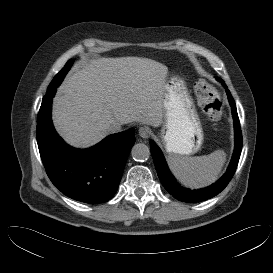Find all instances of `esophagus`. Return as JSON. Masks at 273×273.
<instances>
[{
  "label": "esophagus",
  "mask_w": 273,
  "mask_h": 273,
  "mask_svg": "<svg viewBox=\"0 0 273 273\" xmlns=\"http://www.w3.org/2000/svg\"><path fill=\"white\" fill-rule=\"evenodd\" d=\"M139 136L147 139L151 136V130L148 127H140L138 130Z\"/></svg>",
  "instance_id": "34e87169"
}]
</instances>
